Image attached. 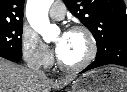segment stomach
<instances>
[{
  "instance_id": "1",
  "label": "stomach",
  "mask_w": 127,
  "mask_h": 92,
  "mask_svg": "<svg viewBox=\"0 0 127 92\" xmlns=\"http://www.w3.org/2000/svg\"><path fill=\"white\" fill-rule=\"evenodd\" d=\"M70 92H127V71L102 67L80 76Z\"/></svg>"
}]
</instances>
